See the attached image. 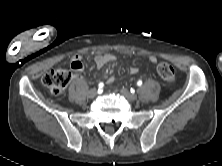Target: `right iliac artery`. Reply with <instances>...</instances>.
I'll use <instances>...</instances> for the list:
<instances>
[{
	"label": "right iliac artery",
	"instance_id": "right-iliac-artery-1",
	"mask_svg": "<svg viewBox=\"0 0 222 166\" xmlns=\"http://www.w3.org/2000/svg\"><path fill=\"white\" fill-rule=\"evenodd\" d=\"M103 86H104V84H103V83H100V84H99V89L102 88Z\"/></svg>",
	"mask_w": 222,
	"mask_h": 166
}]
</instances>
